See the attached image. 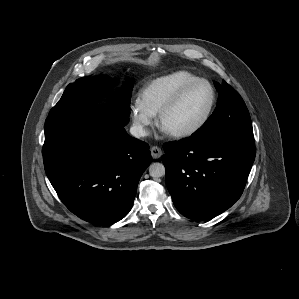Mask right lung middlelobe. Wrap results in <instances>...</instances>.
<instances>
[{"instance_id": "right-lung-middle-lobe-1", "label": "right lung middle lobe", "mask_w": 299, "mask_h": 299, "mask_svg": "<svg viewBox=\"0 0 299 299\" xmlns=\"http://www.w3.org/2000/svg\"><path fill=\"white\" fill-rule=\"evenodd\" d=\"M112 94V87L100 77H83L74 84L66 87L61 99L51 109L48 116H70L75 112L95 105L100 97L99 89L104 87ZM132 95V83H124L121 90L110 97V102L122 112L130 115V98Z\"/></svg>"}]
</instances>
